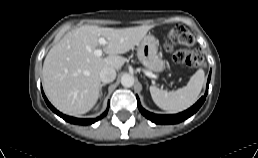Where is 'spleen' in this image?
<instances>
[{"label": "spleen", "instance_id": "1", "mask_svg": "<svg viewBox=\"0 0 258 158\" xmlns=\"http://www.w3.org/2000/svg\"><path fill=\"white\" fill-rule=\"evenodd\" d=\"M205 81L203 69H198L183 88L167 92L155 86L150 93L155 104L170 113H178L192 106L198 99Z\"/></svg>", "mask_w": 258, "mask_h": 158}]
</instances>
